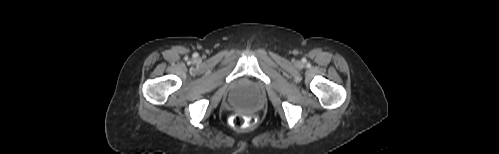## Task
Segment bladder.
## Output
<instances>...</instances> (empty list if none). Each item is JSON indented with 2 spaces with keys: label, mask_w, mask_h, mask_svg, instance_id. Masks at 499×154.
Segmentation results:
<instances>
[{
  "label": "bladder",
  "mask_w": 499,
  "mask_h": 154,
  "mask_svg": "<svg viewBox=\"0 0 499 154\" xmlns=\"http://www.w3.org/2000/svg\"><path fill=\"white\" fill-rule=\"evenodd\" d=\"M237 105H238V107L243 108V109H250L252 107V104L245 99L238 100Z\"/></svg>",
  "instance_id": "bladder-1"
}]
</instances>
